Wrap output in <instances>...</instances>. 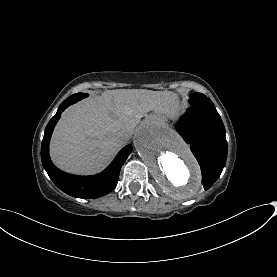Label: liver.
Here are the masks:
<instances>
[{
  "label": "liver",
  "mask_w": 277,
  "mask_h": 277,
  "mask_svg": "<svg viewBox=\"0 0 277 277\" xmlns=\"http://www.w3.org/2000/svg\"><path fill=\"white\" fill-rule=\"evenodd\" d=\"M169 91L107 90L70 106L55 127L50 154L60 169L92 174L105 167L125 143L118 131H131L153 110L174 116Z\"/></svg>",
  "instance_id": "6515ba94"
}]
</instances>
